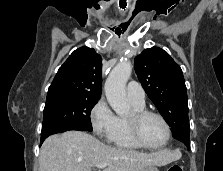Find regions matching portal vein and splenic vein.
<instances>
[{
    "label": "portal vein and splenic vein",
    "mask_w": 223,
    "mask_h": 171,
    "mask_svg": "<svg viewBox=\"0 0 223 171\" xmlns=\"http://www.w3.org/2000/svg\"><path fill=\"white\" fill-rule=\"evenodd\" d=\"M107 165L106 164H97L95 165V167L99 168V169H104Z\"/></svg>",
    "instance_id": "18ae733b"
}]
</instances>
